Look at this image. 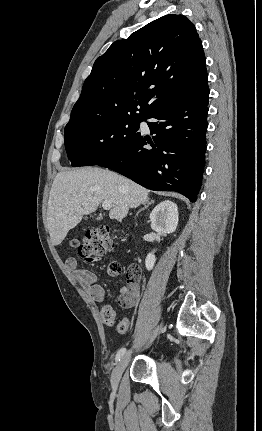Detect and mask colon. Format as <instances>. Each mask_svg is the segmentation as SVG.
<instances>
[{"instance_id": "colon-1", "label": "colon", "mask_w": 262, "mask_h": 431, "mask_svg": "<svg viewBox=\"0 0 262 431\" xmlns=\"http://www.w3.org/2000/svg\"><path fill=\"white\" fill-rule=\"evenodd\" d=\"M107 226H100L97 229L89 232L82 240L72 239L69 242L70 248L75 250L79 259L87 262H92L96 258L101 257L108 253L113 247V242L108 238ZM109 272L117 274L121 271L118 264L112 263L108 266ZM139 270L136 267H132L129 271L131 278L138 275ZM102 319L106 324L114 323V318L111 316V310L106 314H102ZM129 322L126 319H122L117 322V329L124 333L128 330Z\"/></svg>"}]
</instances>
